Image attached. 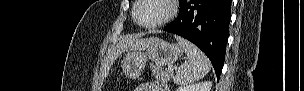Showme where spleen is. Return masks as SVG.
Instances as JSON below:
<instances>
[{"label":"spleen","mask_w":304,"mask_h":91,"mask_svg":"<svg viewBox=\"0 0 304 91\" xmlns=\"http://www.w3.org/2000/svg\"><path fill=\"white\" fill-rule=\"evenodd\" d=\"M176 40L187 54V60L177 69L174 82L177 85H187L204 78L211 68L207 56L191 42L178 36Z\"/></svg>","instance_id":"1"}]
</instances>
